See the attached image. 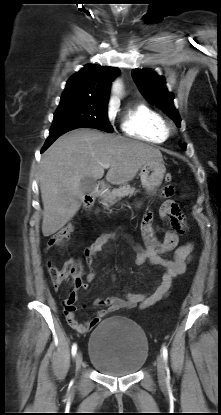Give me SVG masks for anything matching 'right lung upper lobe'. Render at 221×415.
<instances>
[{
  "mask_svg": "<svg viewBox=\"0 0 221 415\" xmlns=\"http://www.w3.org/2000/svg\"><path fill=\"white\" fill-rule=\"evenodd\" d=\"M118 73L119 69L116 67L88 64L69 78L62 97L108 102L111 82Z\"/></svg>",
  "mask_w": 221,
  "mask_h": 415,
  "instance_id": "cb5924a9",
  "label": "right lung upper lobe"
}]
</instances>
